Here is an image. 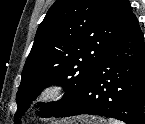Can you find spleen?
<instances>
[{
  "mask_svg": "<svg viewBox=\"0 0 145 124\" xmlns=\"http://www.w3.org/2000/svg\"><path fill=\"white\" fill-rule=\"evenodd\" d=\"M109 124H123V123L118 120L109 119Z\"/></svg>",
  "mask_w": 145,
  "mask_h": 124,
  "instance_id": "spleen-1",
  "label": "spleen"
}]
</instances>
